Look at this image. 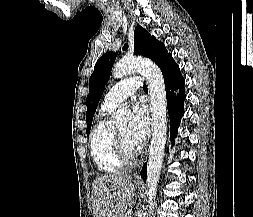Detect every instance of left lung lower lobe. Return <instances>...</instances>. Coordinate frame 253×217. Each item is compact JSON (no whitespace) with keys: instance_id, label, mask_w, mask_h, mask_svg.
Segmentation results:
<instances>
[{"instance_id":"left-lung-lower-lobe-1","label":"left lung lower lobe","mask_w":253,"mask_h":217,"mask_svg":"<svg viewBox=\"0 0 253 217\" xmlns=\"http://www.w3.org/2000/svg\"><path fill=\"white\" fill-rule=\"evenodd\" d=\"M160 69L166 86L167 107L170 117V136L173 139L177 135L180 119L184 114V78L180 73L179 66L172 57L160 66ZM178 89L180 90L179 94H175L174 92ZM140 175L146 181L147 164L143 165Z\"/></svg>"}]
</instances>
